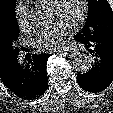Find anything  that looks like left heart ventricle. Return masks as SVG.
Returning <instances> with one entry per match:
<instances>
[{
  "instance_id": "obj_1",
  "label": "left heart ventricle",
  "mask_w": 113,
  "mask_h": 113,
  "mask_svg": "<svg viewBox=\"0 0 113 113\" xmlns=\"http://www.w3.org/2000/svg\"><path fill=\"white\" fill-rule=\"evenodd\" d=\"M81 11L80 0H66L64 3V12L63 15H60L55 10L52 11L51 22L57 19H61L69 24H73L77 19Z\"/></svg>"
}]
</instances>
